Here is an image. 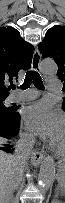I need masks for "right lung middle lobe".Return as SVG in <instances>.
<instances>
[{
    "instance_id": "right-lung-middle-lobe-1",
    "label": "right lung middle lobe",
    "mask_w": 65,
    "mask_h": 203,
    "mask_svg": "<svg viewBox=\"0 0 65 203\" xmlns=\"http://www.w3.org/2000/svg\"><path fill=\"white\" fill-rule=\"evenodd\" d=\"M7 96L0 97V116H10L14 115L16 112V107H5L4 100Z\"/></svg>"
}]
</instances>
